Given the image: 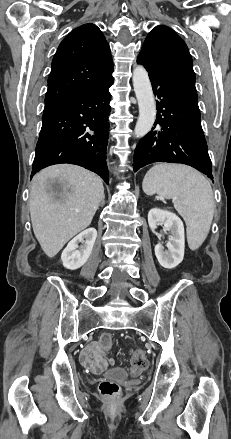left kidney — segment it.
<instances>
[{"instance_id":"5707ae66","label":"left kidney","mask_w":231,"mask_h":439,"mask_svg":"<svg viewBox=\"0 0 231 439\" xmlns=\"http://www.w3.org/2000/svg\"><path fill=\"white\" fill-rule=\"evenodd\" d=\"M148 224L152 230L163 224L164 230L170 233L167 243L168 250H164L161 243L155 246V255L159 264L172 269L180 264L184 257L185 235L182 220L174 213L153 208L148 213Z\"/></svg>"}]
</instances>
